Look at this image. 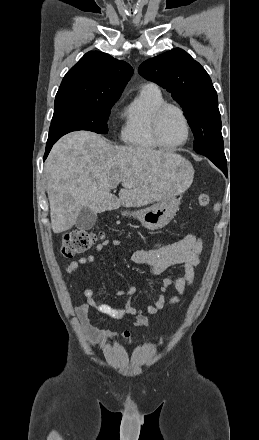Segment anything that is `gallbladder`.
<instances>
[{"instance_id": "1", "label": "gallbladder", "mask_w": 259, "mask_h": 440, "mask_svg": "<svg viewBox=\"0 0 259 440\" xmlns=\"http://www.w3.org/2000/svg\"><path fill=\"white\" fill-rule=\"evenodd\" d=\"M97 221V214L87 207H83L78 214L75 226L79 230L91 229Z\"/></svg>"}]
</instances>
